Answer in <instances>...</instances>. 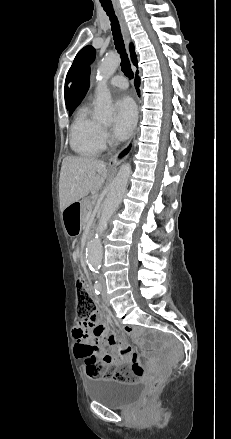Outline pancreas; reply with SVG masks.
Segmentation results:
<instances>
[{"instance_id":"pancreas-1","label":"pancreas","mask_w":231,"mask_h":439,"mask_svg":"<svg viewBox=\"0 0 231 439\" xmlns=\"http://www.w3.org/2000/svg\"><path fill=\"white\" fill-rule=\"evenodd\" d=\"M81 222L85 224L88 221L89 213L93 207V203L90 198H85L81 201Z\"/></svg>"}]
</instances>
